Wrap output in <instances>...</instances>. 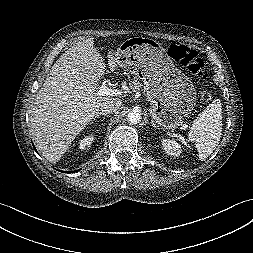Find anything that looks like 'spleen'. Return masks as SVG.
<instances>
[{
  "mask_svg": "<svg viewBox=\"0 0 253 253\" xmlns=\"http://www.w3.org/2000/svg\"><path fill=\"white\" fill-rule=\"evenodd\" d=\"M222 105L215 99L193 121L188 139L196 144L199 160H205L219 144L222 134Z\"/></svg>",
  "mask_w": 253,
  "mask_h": 253,
  "instance_id": "spleen-1",
  "label": "spleen"
}]
</instances>
